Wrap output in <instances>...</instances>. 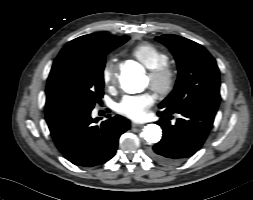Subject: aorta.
Masks as SVG:
<instances>
[{"label":"aorta","instance_id":"1","mask_svg":"<svg viewBox=\"0 0 253 200\" xmlns=\"http://www.w3.org/2000/svg\"><path fill=\"white\" fill-rule=\"evenodd\" d=\"M120 83L127 93H137L147 87V78L140 70L127 69L122 73ZM141 136L149 143H157L161 139L162 130L156 124H148L141 132Z\"/></svg>","mask_w":253,"mask_h":200}]
</instances>
